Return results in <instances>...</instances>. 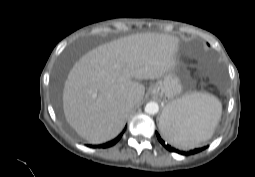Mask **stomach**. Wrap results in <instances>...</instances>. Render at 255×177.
<instances>
[{
    "mask_svg": "<svg viewBox=\"0 0 255 177\" xmlns=\"http://www.w3.org/2000/svg\"><path fill=\"white\" fill-rule=\"evenodd\" d=\"M183 86L172 71L165 74L162 79H159L151 88V94L155 97L164 98L165 100L173 102L178 99L182 94ZM169 104L165 107L161 117H160V129L163 123V116H165L169 111Z\"/></svg>",
    "mask_w": 255,
    "mask_h": 177,
    "instance_id": "0dacf381",
    "label": "stomach"
}]
</instances>
